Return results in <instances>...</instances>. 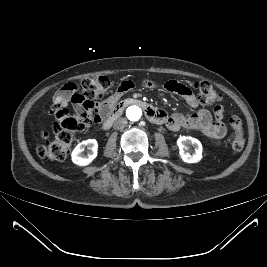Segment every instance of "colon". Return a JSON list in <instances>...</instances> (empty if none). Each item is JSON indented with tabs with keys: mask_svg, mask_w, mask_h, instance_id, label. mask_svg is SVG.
Masks as SVG:
<instances>
[{
	"mask_svg": "<svg viewBox=\"0 0 267 267\" xmlns=\"http://www.w3.org/2000/svg\"><path fill=\"white\" fill-rule=\"evenodd\" d=\"M113 86V82L106 76H93L82 79L78 87L80 93L77 95L81 101H95L102 99ZM197 92V99L201 105L210 106L221 100V95L211 84L205 81H197L193 84ZM54 118V138H50L46 132L41 134V142L37 146V154L41 158L52 160H63L69 154L75 141L76 132L87 125L92 124V120L77 115H72L67 109L55 105L50 111ZM235 136L232 147L236 151L243 149L245 138L242 129V120L238 115H234L229 120Z\"/></svg>",
	"mask_w": 267,
	"mask_h": 267,
	"instance_id": "5ec220e1",
	"label": "colon"
}]
</instances>
